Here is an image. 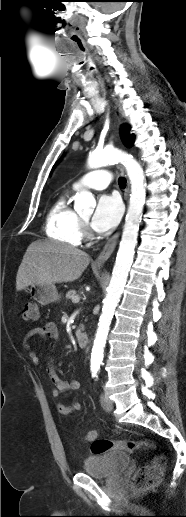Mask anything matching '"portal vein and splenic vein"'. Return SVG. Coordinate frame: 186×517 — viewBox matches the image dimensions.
<instances>
[{
    "label": "portal vein and splenic vein",
    "instance_id": "obj_1",
    "mask_svg": "<svg viewBox=\"0 0 186 517\" xmlns=\"http://www.w3.org/2000/svg\"><path fill=\"white\" fill-rule=\"evenodd\" d=\"M79 301H80V298H78V297H75V298L72 299L73 303H78Z\"/></svg>",
    "mask_w": 186,
    "mask_h": 517
}]
</instances>
